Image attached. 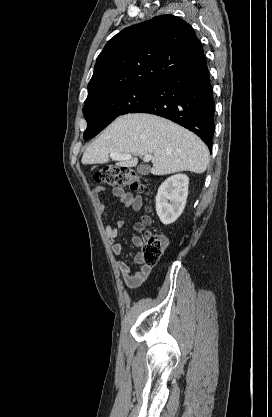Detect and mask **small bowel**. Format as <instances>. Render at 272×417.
Listing matches in <instances>:
<instances>
[{
    "instance_id": "obj_1",
    "label": "small bowel",
    "mask_w": 272,
    "mask_h": 417,
    "mask_svg": "<svg viewBox=\"0 0 272 417\" xmlns=\"http://www.w3.org/2000/svg\"><path fill=\"white\" fill-rule=\"evenodd\" d=\"M104 191L103 186H96L92 189V196L96 204V209L99 214L104 212V204L101 201V194ZM112 194L126 207L131 208L134 211H139L143 204V199L140 195H133L120 187H115L112 190ZM123 227V221L118 220L113 225H106L105 233L109 243L111 244L112 253L115 255H121L124 250L122 243L116 241L120 229ZM132 243L135 247H142V239L138 236L132 238ZM134 262L140 265V268L132 272L131 267L124 261H118L116 263L117 269L120 273L122 281L131 290L139 288L147 280L151 266L145 265L142 262V254L137 253L134 257Z\"/></svg>"
}]
</instances>
